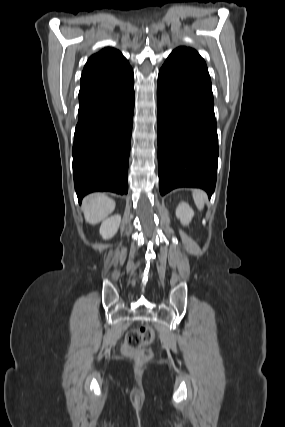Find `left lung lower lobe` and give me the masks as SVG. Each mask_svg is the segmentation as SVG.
<instances>
[{"label":"left lung lower lobe","instance_id":"1","mask_svg":"<svg viewBox=\"0 0 285 427\" xmlns=\"http://www.w3.org/2000/svg\"><path fill=\"white\" fill-rule=\"evenodd\" d=\"M157 107L160 194L199 187L211 196L219 151L207 67L191 54L172 52L159 71Z\"/></svg>","mask_w":285,"mask_h":427}]
</instances>
